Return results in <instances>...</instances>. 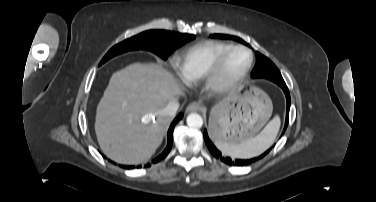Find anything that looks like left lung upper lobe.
Returning <instances> with one entry per match:
<instances>
[{
    "mask_svg": "<svg viewBox=\"0 0 376 202\" xmlns=\"http://www.w3.org/2000/svg\"><path fill=\"white\" fill-rule=\"evenodd\" d=\"M213 38H220V39H233L240 43H243L247 45L242 39L230 36V35H223V34H213L211 35ZM257 62L256 65L252 71V77L253 78H267L273 82H275L278 85L285 84L280 71L278 68L265 56L260 54L259 52H256Z\"/></svg>",
    "mask_w": 376,
    "mask_h": 202,
    "instance_id": "obj_1",
    "label": "left lung upper lobe"
}]
</instances>
